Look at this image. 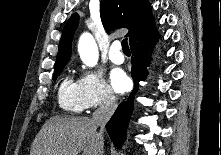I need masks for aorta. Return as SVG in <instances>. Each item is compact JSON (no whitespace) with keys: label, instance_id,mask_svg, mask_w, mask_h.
<instances>
[{"label":"aorta","instance_id":"1","mask_svg":"<svg viewBox=\"0 0 221 155\" xmlns=\"http://www.w3.org/2000/svg\"><path fill=\"white\" fill-rule=\"evenodd\" d=\"M78 51L83 63L89 67L97 64L99 58L98 47L93 36L89 33H84L78 43Z\"/></svg>","mask_w":221,"mask_h":155}]
</instances>
